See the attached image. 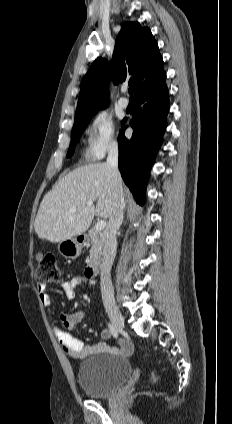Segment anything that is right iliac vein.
<instances>
[{
	"mask_svg": "<svg viewBox=\"0 0 232 424\" xmlns=\"http://www.w3.org/2000/svg\"><path fill=\"white\" fill-rule=\"evenodd\" d=\"M105 308L112 324L117 330L122 331L124 329V318L117 306L114 304H107Z\"/></svg>",
	"mask_w": 232,
	"mask_h": 424,
	"instance_id": "63e3f726",
	"label": "right iliac vein"
}]
</instances>
